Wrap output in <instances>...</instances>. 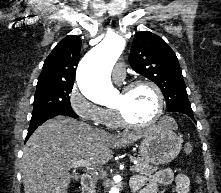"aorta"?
I'll return each instance as SVG.
<instances>
[{
    "label": "aorta",
    "instance_id": "aorta-1",
    "mask_svg": "<svg viewBox=\"0 0 221 193\" xmlns=\"http://www.w3.org/2000/svg\"><path fill=\"white\" fill-rule=\"evenodd\" d=\"M124 46V39L113 34L91 49L81 60L77 69V83L89 100L106 104L116 95L109 74ZM109 193H119V188L113 186Z\"/></svg>",
    "mask_w": 221,
    "mask_h": 193
}]
</instances>
